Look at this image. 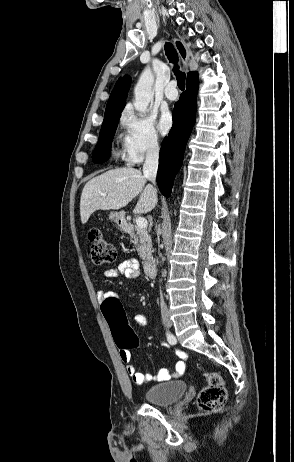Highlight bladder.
I'll return each mask as SVG.
<instances>
[{"label":"bladder","instance_id":"31cf9c89","mask_svg":"<svg viewBox=\"0 0 294 462\" xmlns=\"http://www.w3.org/2000/svg\"><path fill=\"white\" fill-rule=\"evenodd\" d=\"M185 381H169L151 386L145 392V400L149 404L165 406L178 401L187 391Z\"/></svg>","mask_w":294,"mask_h":462}]
</instances>
